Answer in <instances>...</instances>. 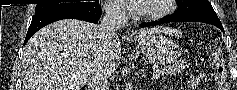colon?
Instances as JSON below:
<instances>
[{
	"mask_svg": "<svg viewBox=\"0 0 237 90\" xmlns=\"http://www.w3.org/2000/svg\"><path fill=\"white\" fill-rule=\"evenodd\" d=\"M214 80L217 84V90H231L228 75L225 68L223 56L220 52L214 54Z\"/></svg>",
	"mask_w": 237,
	"mask_h": 90,
	"instance_id": "1",
	"label": "colon"
}]
</instances>
